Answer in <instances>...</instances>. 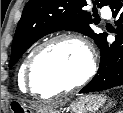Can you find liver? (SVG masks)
Wrapping results in <instances>:
<instances>
[{
    "mask_svg": "<svg viewBox=\"0 0 123 113\" xmlns=\"http://www.w3.org/2000/svg\"><path fill=\"white\" fill-rule=\"evenodd\" d=\"M46 108H47V109H50V108H51V105L46 106Z\"/></svg>",
    "mask_w": 123,
    "mask_h": 113,
    "instance_id": "6515ba94",
    "label": "liver"
}]
</instances>
